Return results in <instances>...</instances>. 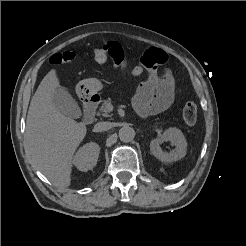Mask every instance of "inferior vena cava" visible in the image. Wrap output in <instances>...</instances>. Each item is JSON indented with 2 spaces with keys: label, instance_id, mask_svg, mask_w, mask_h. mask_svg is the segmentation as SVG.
Returning <instances> with one entry per match:
<instances>
[{
  "label": "inferior vena cava",
  "instance_id": "1",
  "mask_svg": "<svg viewBox=\"0 0 246 246\" xmlns=\"http://www.w3.org/2000/svg\"><path fill=\"white\" fill-rule=\"evenodd\" d=\"M112 125L110 122H98L94 126V131L95 132H103L111 129Z\"/></svg>",
  "mask_w": 246,
  "mask_h": 246
}]
</instances>
